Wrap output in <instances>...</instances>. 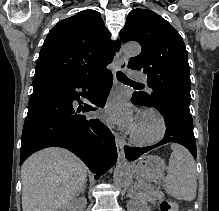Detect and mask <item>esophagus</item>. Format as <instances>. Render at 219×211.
Returning a JSON list of instances; mask_svg holds the SVG:
<instances>
[{"mask_svg":"<svg viewBox=\"0 0 219 211\" xmlns=\"http://www.w3.org/2000/svg\"><path fill=\"white\" fill-rule=\"evenodd\" d=\"M127 64H128L127 58H125L124 56H121L119 59L118 66L113 70L114 84L117 83V76H116L117 72L118 71H125L127 68ZM114 136H115V144L117 147L118 158L122 159V158H124V142L120 138V136L118 135L117 132H114Z\"/></svg>","mask_w":219,"mask_h":211,"instance_id":"1","label":"esophagus"}]
</instances>
